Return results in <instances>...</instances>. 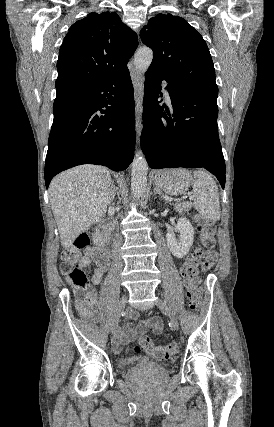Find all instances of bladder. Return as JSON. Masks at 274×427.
I'll return each instance as SVG.
<instances>
[{
  "label": "bladder",
  "mask_w": 274,
  "mask_h": 427,
  "mask_svg": "<svg viewBox=\"0 0 274 427\" xmlns=\"http://www.w3.org/2000/svg\"><path fill=\"white\" fill-rule=\"evenodd\" d=\"M151 364H152V365H156V363H155V362H151ZM119 366H120V368H121V369L125 370V369H127V368L135 367V364L132 362V360H131V359H126V360L121 359V360L119 361Z\"/></svg>",
  "instance_id": "obj_1"
}]
</instances>
